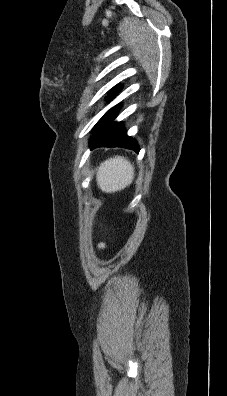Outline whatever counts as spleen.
<instances>
[{
    "mask_svg": "<svg viewBox=\"0 0 227 396\" xmlns=\"http://www.w3.org/2000/svg\"><path fill=\"white\" fill-rule=\"evenodd\" d=\"M134 179V167L124 157L116 156L101 163L96 181L106 193L116 192L129 186Z\"/></svg>",
    "mask_w": 227,
    "mask_h": 396,
    "instance_id": "3e777b00",
    "label": "spleen"
}]
</instances>
